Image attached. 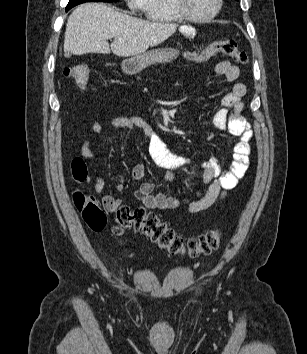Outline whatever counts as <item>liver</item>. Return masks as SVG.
<instances>
[{"instance_id":"obj_1","label":"liver","mask_w":307,"mask_h":354,"mask_svg":"<svg viewBox=\"0 0 307 354\" xmlns=\"http://www.w3.org/2000/svg\"><path fill=\"white\" fill-rule=\"evenodd\" d=\"M177 30L173 23L150 22L116 11L103 3L81 4L67 20L64 53L136 56L161 44ZM114 38L109 45L108 39ZM121 40V41H120Z\"/></svg>"}]
</instances>
